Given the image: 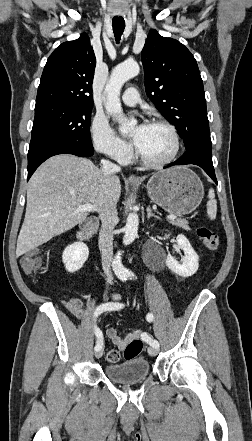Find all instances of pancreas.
Segmentation results:
<instances>
[{
  "instance_id": "obj_1",
  "label": "pancreas",
  "mask_w": 252,
  "mask_h": 441,
  "mask_svg": "<svg viewBox=\"0 0 252 441\" xmlns=\"http://www.w3.org/2000/svg\"><path fill=\"white\" fill-rule=\"evenodd\" d=\"M172 225L182 228L186 231L190 230L189 226H188V222L184 219H178V220H174L171 222Z\"/></svg>"
}]
</instances>
